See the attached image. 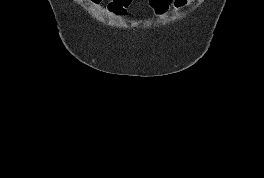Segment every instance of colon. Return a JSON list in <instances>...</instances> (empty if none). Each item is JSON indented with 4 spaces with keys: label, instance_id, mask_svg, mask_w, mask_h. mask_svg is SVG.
Returning a JSON list of instances; mask_svg holds the SVG:
<instances>
[{
    "label": "colon",
    "instance_id": "5ec220e1",
    "mask_svg": "<svg viewBox=\"0 0 264 178\" xmlns=\"http://www.w3.org/2000/svg\"><path fill=\"white\" fill-rule=\"evenodd\" d=\"M132 0H110L107 4L108 11L118 17L123 18L128 11ZM152 11L158 15H164L170 8L172 0H148Z\"/></svg>",
    "mask_w": 264,
    "mask_h": 178
}]
</instances>
